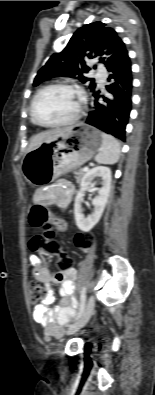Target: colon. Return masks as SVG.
Masks as SVG:
<instances>
[{"instance_id":"obj_1","label":"colon","mask_w":155,"mask_h":395,"mask_svg":"<svg viewBox=\"0 0 155 395\" xmlns=\"http://www.w3.org/2000/svg\"><path fill=\"white\" fill-rule=\"evenodd\" d=\"M29 221L34 227H47L48 218L45 207L41 205L33 206ZM74 241L79 248L86 250L91 246L93 238L90 235L78 234L75 236ZM29 248L32 251L41 252L48 256H57L58 261L63 266V272L76 271V266L72 259H70L69 251L61 250L59 243L53 240L49 234L33 236L29 242ZM29 294L31 302L36 303L45 297L46 291L38 282L30 281Z\"/></svg>"}]
</instances>
